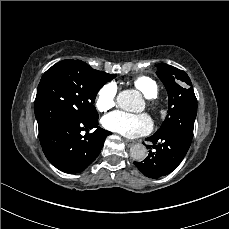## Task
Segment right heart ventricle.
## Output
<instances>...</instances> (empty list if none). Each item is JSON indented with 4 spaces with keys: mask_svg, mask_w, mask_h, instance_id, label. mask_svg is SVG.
I'll return each mask as SVG.
<instances>
[{
    "mask_svg": "<svg viewBox=\"0 0 229 229\" xmlns=\"http://www.w3.org/2000/svg\"><path fill=\"white\" fill-rule=\"evenodd\" d=\"M132 83L136 89L149 99L156 97L158 94L159 89L157 83L148 76H137L133 79Z\"/></svg>",
    "mask_w": 229,
    "mask_h": 229,
    "instance_id": "obj_1",
    "label": "right heart ventricle"
}]
</instances>
